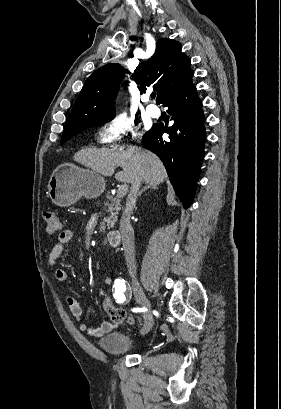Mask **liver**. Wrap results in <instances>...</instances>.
I'll use <instances>...</instances> for the list:
<instances>
[{
    "instance_id": "1",
    "label": "liver",
    "mask_w": 281,
    "mask_h": 409,
    "mask_svg": "<svg viewBox=\"0 0 281 409\" xmlns=\"http://www.w3.org/2000/svg\"><path fill=\"white\" fill-rule=\"evenodd\" d=\"M74 160L100 172L104 176H112L116 166H122L121 172H116L115 178L119 182H133L136 172L143 174L142 180L147 184L164 182L167 172L160 158L139 146L122 148H82L74 154ZM136 164H139L137 168Z\"/></svg>"
}]
</instances>
